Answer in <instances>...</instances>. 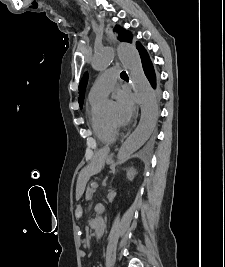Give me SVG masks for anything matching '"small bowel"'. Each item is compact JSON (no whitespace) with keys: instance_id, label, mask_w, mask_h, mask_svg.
Wrapping results in <instances>:
<instances>
[{"instance_id":"1","label":"small bowel","mask_w":225,"mask_h":267,"mask_svg":"<svg viewBox=\"0 0 225 267\" xmlns=\"http://www.w3.org/2000/svg\"><path fill=\"white\" fill-rule=\"evenodd\" d=\"M86 256V253H85V251H80V257H85Z\"/></svg>"}]
</instances>
